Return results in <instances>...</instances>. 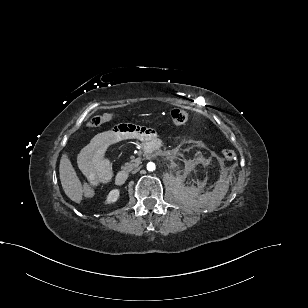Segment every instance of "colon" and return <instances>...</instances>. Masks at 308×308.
I'll list each match as a JSON object with an SVG mask.
<instances>
[{"label":"colon","mask_w":308,"mask_h":308,"mask_svg":"<svg viewBox=\"0 0 308 308\" xmlns=\"http://www.w3.org/2000/svg\"><path fill=\"white\" fill-rule=\"evenodd\" d=\"M170 118L173 124L183 125L188 120V113L182 108H173L170 111ZM113 119V115L110 113H104L101 115H96L89 121L88 125L90 127H97L105 124ZM223 156L226 160H234L236 158V153L232 149L223 150ZM83 197L90 199L95 195V187L92 183L85 184L82 191Z\"/></svg>","instance_id":"5ec220e1"}]
</instances>
